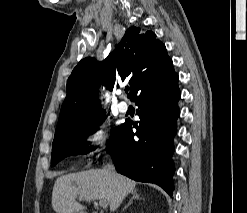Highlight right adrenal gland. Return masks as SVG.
Returning a JSON list of instances; mask_svg holds the SVG:
<instances>
[{"instance_id": "2a0ac1e0", "label": "right adrenal gland", "mask_w": 247, "mask_h": 213, "mask_svg": "<svg viewBox=\"0 0 247 213\" xmlns=\"http://www.w3.org/2000/svg\"><path fill=\"white\" fill-rule=\"evenodd\" d=\"M134 199H141L137 190L132 191V197L129 200L128 204L123 208V211L132 204Z\"/></svg>"}]
</instances>
